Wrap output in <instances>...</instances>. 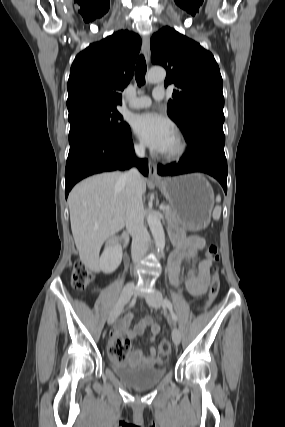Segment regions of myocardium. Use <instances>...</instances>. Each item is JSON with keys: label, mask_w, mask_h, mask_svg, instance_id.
Segmentation results:
<instances>
[{"label": "myocardium", "mask_w": 285, "mask_h": 427, "mask_svg": "<svg viewBox=\"0 0 285 427\" xmlns=\"http://www.w3.org/2000/svg\"><path fill=\"white\" fill-rule=\"evenodd\" d=\"M176 139V147L173 151L162 153L161 158L165 161H175L180 159L187 150V141L182 133L176 131L174 134Z\"/></svg>", "instance_id": "obj_1"}]
</instances>
